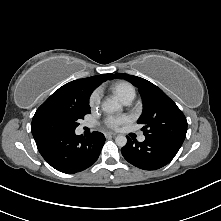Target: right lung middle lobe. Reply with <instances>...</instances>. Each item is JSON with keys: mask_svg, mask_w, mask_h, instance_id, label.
Returning <instances> with one entry per match:
<instances>
[{"mask_svg": "<svg viewBox=\"0 0 221 221\" xmlns=\"http://www.w3.org/2000/svg\"><path fill=\"white\" fill-rule=\"evenodd\" d=\"M90 113L88 104L83 106L48 104L40 106L32 120L31 131L39 138L58 131H74L78 120Z\"/></svg>", "mask_w": 221, "mask_h": 221, "instance_id": "right-lung-middle-lobe-1", "label": "right lung middle lobe"}]
</instances>
